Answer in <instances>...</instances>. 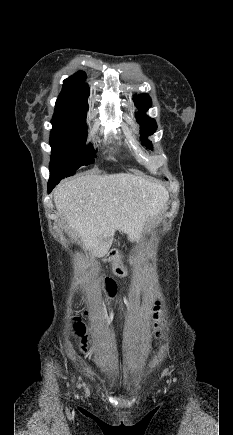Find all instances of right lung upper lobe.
<instances>
[{"label":"right lung upper lobe","instance_id":"obj_1","mask_svg":"<svg viewBox=\"0 0 233 435\" xmlns=\"http://www.w3.org/2000/svg\"><path fill=\"white\" fill-rule=\"evenodd\" d=\"M85 73L78 72L63 82V89L56 101L52 122L67 121L86 117L90 89L83 84Z\"/></svg>","mask_w":233,"mask_h":435}]
</instances>
